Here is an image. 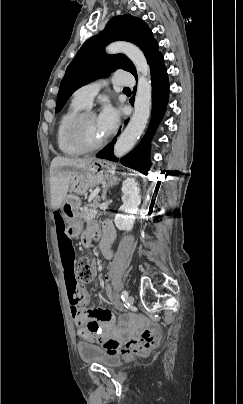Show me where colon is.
Masks as SVG:
<instances>
[{"instance_id": "5ec220e1", "label": "colon", "mask_w": 243, "mask_h": 404, "mask_svg": "<svg viewBox=\"0 0 243 404\" xmlns=\"http://www.w3.org/2000/svg\"><path fill=\"white\" fill-rule=\"evenodd\" d=\"M94 268L90 260L82 257L78 262L77 280L81 283H90L94 278ZM105 296L112 300L113 292L111 287L105 289ZM71 300L75 304L84 303L87 301V296L82 291H76L71 294ZM159 341L157 333L152 329L142 331L137 339L131 340L124 351L132 354H146L154 349ZM104 346L110 351L120 349V344L115 339H108L104 342Z\"/></svg>"}]
</instances>
